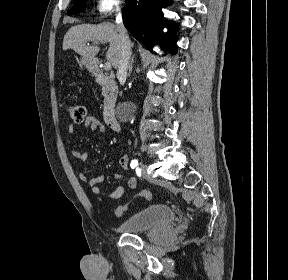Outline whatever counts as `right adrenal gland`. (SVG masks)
<instances>
[{"label":"right adrenal gland","mask_w":288,"mask_h":280,"mask_svg":"<svg viewBox=\"0 0 288 280\" xmlns=\"http://www.w3.org/2000/svg\"><path fill=\"white\" fill-rule=\"evenodd\" d=\"M133 63H134V55L132 56L131 61H130V64H129V75H130L131 72H132V69H133Z\"/></svg>","instance_id":"obj_1"}]
</instances>
